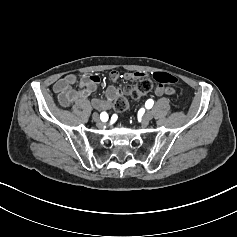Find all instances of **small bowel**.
Here are the masks:
<instances>
[{
  "label": "small bowel",
  "mask_w": 237,
  "mask_h": 237,
  "mask_svg": "<svg viewBox=\"0 0 237 237\" xmlns=\"http://www.w3.org/2000/svg\"><path fill=\"white\" fill-rule=\"evenodd\" d=\"M144 75L142 72L120 74L117 71H112L109 76L116 83L120 79L137 80ZM100 82L101 78L98 75H88L78 80L74 74H67L53 85V91L57 94L58 102L62 107L81 106L96 91ZM155 93L158 96L170 95L174 93V90L163 84H158L155 88ZM120 94V88L116 85H111L107 88L104 98H92L90 102H87V108L93 107L100 112L109 111ZM80 108L83 110V107ZM81 115L83 116L84 114L82 113Z\"/></svg>",
  "instance_id": "1"
}]
</instances>
